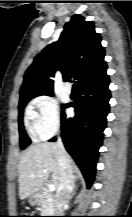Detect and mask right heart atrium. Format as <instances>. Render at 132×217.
I'll use <instances>...</instances> for the list:
<instances>
[{"label": "right heart atrium", "instance_id": "1", "mask_svg": "<svg viewBox=\"0 0 132 217\" xmlns=\"http://www.w3.org/2000/svg\"><path fill=\"white\" fill-rule=\"evenodd\" d=\"M37 110L35 117L36 134L41 139L54 135L60 127V109L57 100L51 95H41L33 100Z\"/></svg>", "mask_w": 132, "mask_h": 217}]
</instances>
